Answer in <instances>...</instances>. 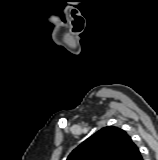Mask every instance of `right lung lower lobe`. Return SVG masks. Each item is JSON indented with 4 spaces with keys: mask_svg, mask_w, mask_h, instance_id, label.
I'll use <instances>...</instances> for the list:
<instances>
[{
    "mask_svg": "<svg viewBox=\"0 0 158 160\" xmlns=\"http://www.w3.org/2000/svg\"><path fill=\"white\" fill-rule=\"evenodd\" d=\"M137 160H143L142 156H140Z\"/></svg>",
    "mask_w": 158,
    "mask_h": 160,
    "instance_id": "1",
    "label": "right lung lower lobe"
}]
</instances>
